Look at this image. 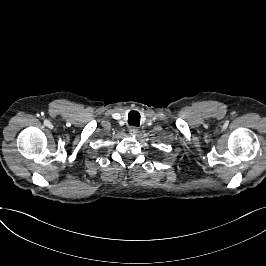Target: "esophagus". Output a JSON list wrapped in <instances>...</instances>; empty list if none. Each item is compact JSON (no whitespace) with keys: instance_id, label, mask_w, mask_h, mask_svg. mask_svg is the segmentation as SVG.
<instances>
[{"instance_id":"obj_1","label":"esophagus","mask_w":266,"mask_h":266,"mask_svg":"<svg viewBox=\"0 0 266 266\" xmlns=\"http://www.w3.org/2000/svg\"><path fill=\"white\" fill-rule=\"evenodd\" d=\"M138 133V129H137V127H130V129H129V134L130 135H135V134H137Z\"/></svg>"}]
</instances>
